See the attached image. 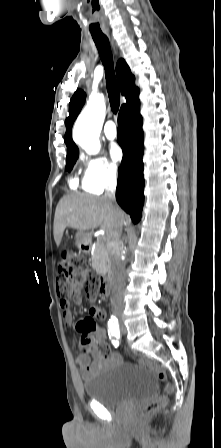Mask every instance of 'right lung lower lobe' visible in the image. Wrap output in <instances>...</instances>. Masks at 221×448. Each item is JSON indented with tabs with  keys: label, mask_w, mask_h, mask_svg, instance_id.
<instances>
[{
	"label": "right lung lower lobe",
	"mask_w": 221,
	"mask_h": 448,
	"mask_svg": "<svg viewBox=\"0 0 221 448\" xmlns=\"http://www.w3.org/2000/svg\"><path fill=\"white\" fill-rule=\"evenodd\" d=\"M118 142L123 150L118 169L116 200L138 223L144 203L143 130L139 100L120 109L118 116Z\"/></svg>",
	"instance_id": "obj_1"
}]
</instances>
